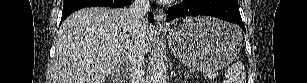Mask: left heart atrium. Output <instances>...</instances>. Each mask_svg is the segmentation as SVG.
I'll return each instance as SVG.
<instances>
[{
  "mask_svg": "<svg viewBox=\"0 0 307 83\" xmlns=\"http://www.w3.org/2000/svg\"><path fill=\"white\" fill-rule=\"evenodd\" d=\"M169 0H164V2H168Z\"/></svg>",
  "mask_w": 307,
  "mask_h": 83,
  "instance_id": "39dd6f15",
  "label": "left heart atrium"
}]
</instances>
